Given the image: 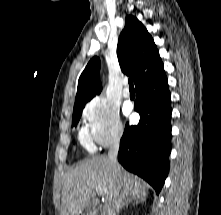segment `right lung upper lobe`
<instances>
[{
	"label": "right lung upper lobe",
	"mask_w": 221,
	"mask_h": 215,
	"mask_svg": "<svg viewBox=\"0 0 221 215\" xmlns=\"http://www.w3.org/2000/svg\"><path fill=\"white\" fill-rule=\"evenodd\" d=\"M117 57L122 71L134 78L135 86L151 79L164 70L153 38L143 24L134 16L126 17L120 33ZM100 59L93 57L79 77L75 104H86L100 94Z\"/></svg>",
	"instance_id": "right-lung-upper-lobe-1"
}]
</instances>
